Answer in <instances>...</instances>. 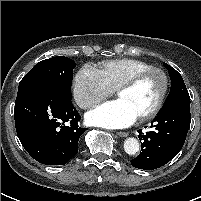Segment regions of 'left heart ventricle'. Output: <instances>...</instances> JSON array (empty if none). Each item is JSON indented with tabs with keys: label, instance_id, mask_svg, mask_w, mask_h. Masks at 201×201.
<instances>
[{
	"label": "left heart ventricle",
	"instance_id": "b2bd125f",
	"mask_svg": "<svg viewBox=\"0 0 201 201\" xmlns=\"http://www.w3.org/2000/svg\"><path fill=\"white\" fill-rule=\"evenodd\" d=\"M161 87V76L153 73L146 76L132 88L123 90L117 96L118 99L123 100L140 117L155 105Z\"/></svg>",
	"mask_w": 201,
	"mask_h": 201
}]
</instances>
